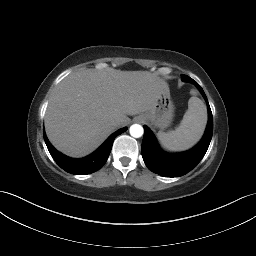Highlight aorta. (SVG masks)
I'll return each mask as SVG.
<instances>
[{"label": "aorta", "mask_w": 256, "mask_h": 256, "mask_svg": "<svg viewBox=\"0 0 256 256\" xmlns=\"http://www.w3.org/2000/svg\"><path fill=\"white\" fill-rule=\"evenodd\" d=\"M130 135L134 138H139L143 135L144 129L139 124H133L129 129Z\"/></svg>", "instance_id": "1"}]
</instances>
